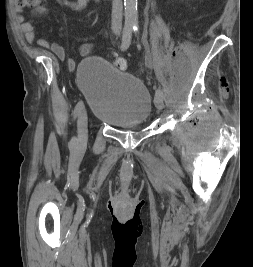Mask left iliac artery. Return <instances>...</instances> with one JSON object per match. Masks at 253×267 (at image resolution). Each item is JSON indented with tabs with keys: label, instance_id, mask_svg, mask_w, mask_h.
Instances as JSON below:
<instances>
[{
	"label": "left iliac artery",
	"instance_id": "1",
	"mask_svg": "<svg viewBox=\"0 0 253 267\" xmlns=\"http://www.w3.org/2000/svg\"><path fill=\"white\" fill-rule=\"evenodd\" d=\"M134 30L135 32H138V27H135ZM158 94H163V91L160 88L155 89V96H157Z\"/></svg>",
	"mask_w": 253,
	"mask_h": 267
}]
</instances>
